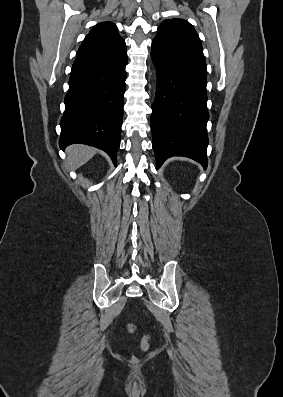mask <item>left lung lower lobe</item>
Returning a JSON list of instances; mask_svg holds the SVG:
<instances>
[{
    "instance_id": "0a47b994",
    "label": "left lung lower lobe",
    "mask_w": 283,
    "mask_h": 397,
    "mask_svg": "<svg viewBox=\"0 0 283 397\" xmlns=\"http://www.w3.org/2000/svg\"><path fill=\"white\" fill-rule=\"evenodd\" d=\"M157 90L152 105V146L157 169L171 156L191 158L207 167V76L152 44Z\"/></svg>"
}]
</instances>
